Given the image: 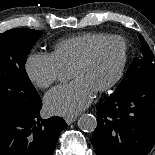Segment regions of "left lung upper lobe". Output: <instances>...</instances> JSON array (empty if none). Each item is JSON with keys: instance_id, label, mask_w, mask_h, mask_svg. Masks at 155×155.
Segmentation results:
<instances>
[{"instance_id": "5c2ea615", "label": "left lung upper lobe", "mask_w": 155, "mask_h": 155, "mask_svg": "<svg viewBox=\"0 0 155 155\" xmlns=\"http://www.w3.org/2000/svg\"><path fill=\"white\" fill-rule=\"evenodd\" d=\"M138 36L141 41L140 56L133 60L116 91H123L155 77V60L153 53L142 35L138 33Z\"/></svg>"}]
</instances>
